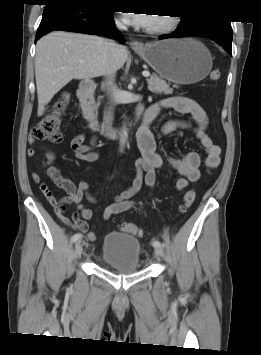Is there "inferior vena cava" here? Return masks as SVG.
<instances>
[{"mask_svg":"<svg viewBox=\"0 0 261 355\" xmlns=\"http://www.w3.org/2000/svg\"><path fill=\"white\" fill-rule=\"evenodd\" d=\"M116 26L119 30H127L126 25L120 21V20H116L115 21ZM108 50H109V54L113 59V66L106 72L105 74V83L102 84V88H106L107 93L110 94L111 98H113L116 86L113 83V77L117 71L116 67H115V63H116V59H117V54H118V50H119V45L116 44L113 41L108 42L107 44ZM112 109V108H110ZM104 121L106 125L111 124L112 121V112L111 110L107 111L104 113Z\"/></svg>","mask_w":261,"mask_h":355,"instance_id":"602c4592","label":"inferior vena cava"}]
</instances>
